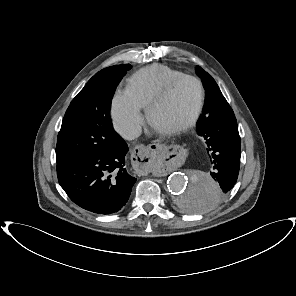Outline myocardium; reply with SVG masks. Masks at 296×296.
<instances>
[{
    "instance_id": "myocardium-1",
    "label": "myocardium",
    "mask_w": 296,
    "mask_h": 296,
    "mask_svg": "<svg viewBox=\"0 0 296 296\" xmlns=\"http://www.w3.org/2000/svg\"><path fill=\"white\" fill-rule=\"evenodd\" d=\"M184 80H191L198 87V93H199L198 94V101H197V104H196L193 112L184 122H182L172 128H169V129L156 128L153 123L154 109L157 106H159L160 104H162L168 98V96L170 95V93L172 92V90L175 88V86L177 84H179L180 82H182ZM204 102H205V88H204L202 81L195 76L183 74V75H180V76L172 79L170 82H168L165 85V87L149 102L148 106L146 107L147 119H148L149 124L152 127H154L159 132H161L165 135L178 134V133H181V132L189 129L190 127H192L196 123V121L198 120V118L202 112Z\"/></svg>"
}]
</instances>
